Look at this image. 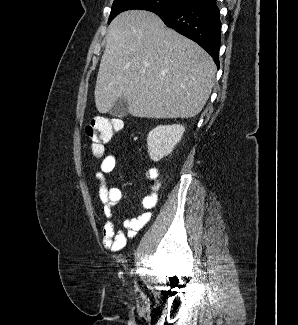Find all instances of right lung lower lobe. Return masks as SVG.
Wrapping results in <instances>:
<instances>
[{"mask_svg": "<svg viewBox=\"0 0 298 325\" xmlns=\"http://www.w3.org/2000/svg\"><path fill=\"white\" fill-rule=\"evenodd\" d=\"M154 13L168 27L198 43L219 68L221 22L216 0H192L182 8Z\"/></svg>", "mask_w": 298, "mask_h": 325, "instance_id": "right-lung-lower-lobe-1", "label": "right lung lower lobe"}]
</instances>
